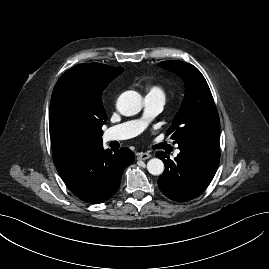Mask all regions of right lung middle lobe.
Segmentation results:
<instances>
[{"instance_id": "dd1d6c3e", "label": "right lung middle lobe", "mask_w": 269, "mask_h": 269, "mask_svg": "<svg viewBox=\"0 0 269 269\" xmlns=\"http://www.w3.org/2000/svg\"><path fill=\"white\" fill-rule=\"evenodd\" d=\"M91 135V126L71 113L63 103L55 127V140L62 155L79 151Z\"/></svg>"}]
</instances>
